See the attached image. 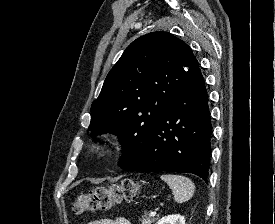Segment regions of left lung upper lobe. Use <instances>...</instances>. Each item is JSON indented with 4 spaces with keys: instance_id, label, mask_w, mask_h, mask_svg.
<instances>
[{
    "instance_id": "1",
    "label": "left lung upper lobe",
    "mask_w": 275,
    "mask_h": 224,
    "mask_svg": "<svg viewBox=\"0 0 275 224\" xmlns=\"http://www.w3.org/2000/svg\"><path fill=\"white\" fill-rule=\"evenodd\" d=\"M189 46L168 32L139 37L108 73L91 106L89 130L117 134L124 148L119 165L134 160L158 120L198 70Z\"/></svg>"
}]
</instances>
